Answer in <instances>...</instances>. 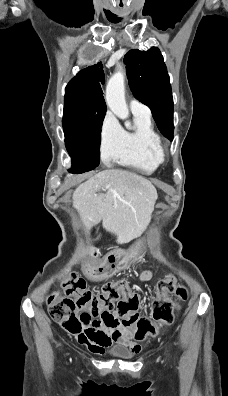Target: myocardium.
Wrapping results in <instances>:
<instances>
[{
	"label": "myocardium",
	"mask_w": 228,
	"mask_h": 396,
	"mask_svg": "<svg viewBox=\"0 0 228 396\" xmlns=\"http://www.w3.org/2000/svg\"><path fill=\"white\" fill-rule=\"evenodd\" d=\"M160 155H161V157H162V159L164 158V151H163V149H161V151H160Z\"/></svg>",
	"instance_id": "obj_1"
}]
</instances>
